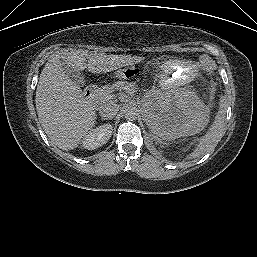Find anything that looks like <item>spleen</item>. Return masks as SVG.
I'll list each match as a JSON object with an SVG mask.
<instances>
[{
    "label": "spleen",
    "instance_id": "obj_1",
    "mask_svg": "<svg viewBox=\"0 0 257 257\" xmlns=\"http://www.w3.org/2000/svg\"><path fill=\"white\" fill-rule=\"evenodd\" d=\"M226 107H227V104H226L225 98L222 97L219 104V110L215 115V119L213 123L209 127L206 134H204L199 139L193 152L187 156L188 160L190 159L195 160L201 155H204L205 153L210 152L214 149L216 143L222 136Z\"/></svg>",
    "mask_w": 257,
    "mask_h": 257
}]
</instances>
